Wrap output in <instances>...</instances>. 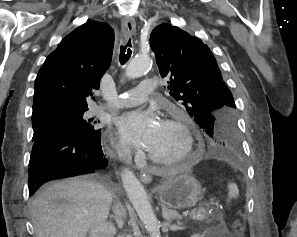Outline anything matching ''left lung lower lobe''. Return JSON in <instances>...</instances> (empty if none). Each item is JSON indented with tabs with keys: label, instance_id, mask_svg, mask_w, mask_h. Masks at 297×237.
<instances>
[{
	"label": "left lung lower lobe",
	"instance_id": "1",
	"mask_svg": "<svg viewBox=\"0 0 297 237\" xmlns=\"http://www.w3.org/2000/svg\"><path fill=\"white\" fill-rule=\"evenodd\" d=\"M198 152H202V150H199ZM203 155L215 156V157H227L220 152V149L215 144L206 145L203 150Z\"/></svg>",
	"mask_w": 297,
	"mask_h": 237
}]
</instances>
